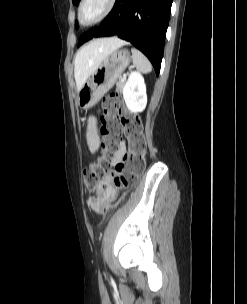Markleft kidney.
Masks as SVG:
<instances>
[{"instance_id":"obj_1","label":"left kidney","mask_w":247,"mask_h":304,"mask_svg":"<svg viewBox=\"0 0 247 304\" xmlns=\"http://www.w3.org/2000/svg\"><path fill=\"white\" fill-rule=\"evenodd\" d=\"M123 97L129 111L142 112L147 104L146 85L139 72H132L123 88Z\"/></svg>"}]
</instances>
